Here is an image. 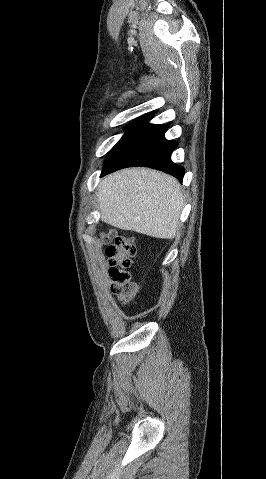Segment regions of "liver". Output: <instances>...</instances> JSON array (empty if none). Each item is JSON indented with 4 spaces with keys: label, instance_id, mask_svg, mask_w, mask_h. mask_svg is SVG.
Here are the masks:
<instances>
[{
    "label": "liver",
    "instance_id": "obj_1",
    "mask_svg": "<svg viewBox=\"0 0 266 479\" xmlns=\"http://www.w3.org/2000/svg\"><path fill=\"white\" fill-rule=\"evenodd\" d=\"M97 202L106 224L161 239L176 236L184 206L177 179L148 168L106 176L98 186Z\"/></svg>",
    "mask_w": 266,
    "mask_h": 479
}]
</instances>
